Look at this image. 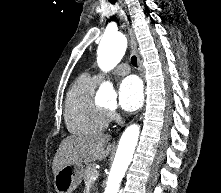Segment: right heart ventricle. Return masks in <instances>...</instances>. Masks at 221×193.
<instances>
[{"label":"right heart ventricle","instance_id":"obj_1","mask_svg":"<svg viewBox=\"0 0 221 193\" xmlns=\"http://www.w3.org/2000/svg\"><path fill=\"white\" fill-rule=\"evenodd\" d=\"M97 81L88 75L80 76L68 91L65 99V121L74 134H90L106 128L107 111L94 99Z\"/></svg>","mask_w":221,"mask_h":193}]
</instances>
